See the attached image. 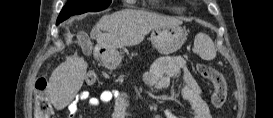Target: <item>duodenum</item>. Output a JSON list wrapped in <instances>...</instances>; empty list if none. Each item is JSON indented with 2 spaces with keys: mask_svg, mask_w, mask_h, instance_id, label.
<instances>
[{
  "mask_svg": "<svg viewBox=\"0 0 273 118\" xmlns=\"http://www.w3.org/2000/svg\"><path fill=\"white\" fill-rule=\"evenodd\" d=\"M97 58H98V60L103 61V60H105L106 56L104 54H99L97 56Z\"/></svg>",
  "mask_w": 273,
  "mask_h": 118,
  "instance_id": "duodenum-1",
  "label": "duodenum"
}]
</instances>
